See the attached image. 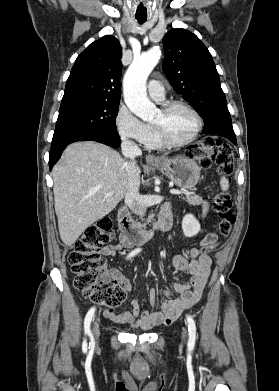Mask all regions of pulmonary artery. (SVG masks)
<instances>
[{
  "label": "pulmonary artery",
  "mask_w": 279,
  "mask_h": 391,
  "mask_svg": "<svg viewBox=\"0 0 279 391\" xmlns=\"http://www.w3.org/2000/svg\"><path fill=\"white\" fill-rule=\"evenodd\" d=\"M148 93L156 101H162L165 97L163 85L157 80H150L148 83Z\"/></svg>",
  "instance_id": "e3ab8cb5"
}]
</instances>
